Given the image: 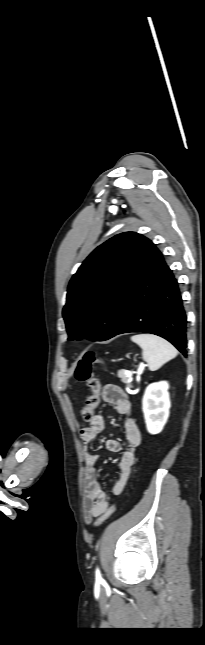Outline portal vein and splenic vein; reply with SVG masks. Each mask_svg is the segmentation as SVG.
Masks as SVG:
<instances>
[{"label":"portal vein and splenic vein","instance_id":"1","mask_svg":"<svg viewBox=\"0 0 205 645\" xmlns=\"http://www.w3.org/2000/svg\"><path fill=\"white\" fill-rule=\"evenodd\" d=\"M143 369H144V366H140V367H139V369H138V371H137V373H138V374H141V373H142V371H143ZM125 373H126V375H127V376H131V375H132V373H131L130 371H126Z\"/></svg>","mask_w":205,"mask_h":645}]
</instances>
